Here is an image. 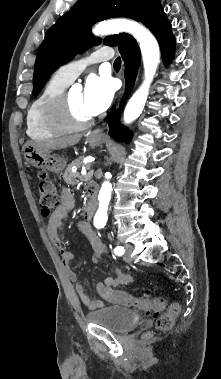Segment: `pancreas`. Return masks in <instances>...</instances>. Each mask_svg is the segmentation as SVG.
Listing matches in <instances>:
<instances>
[{"label": "pancreas", "instance_id": "obj_1", "mask_svg": "<svg viewBox=\"0 0 221 379\" xmlns=\"http://www.w3.org/2000/svg\"><path fill=\"white\" fill-rule=\"evenodd\" d=\"M82 163H83V158H78L74 160L71 164H69L68 167L66 168L63 175V179L68 185H75L79 182V180L85 179V177L80 175L79 172H75V173L72 172L73 166L80 168L82 166ZM90 166H91L90 164H87L86 168L90 169Z\"/></svg>", "mask_w": 221, "mask_h": 379}]
</instances>
